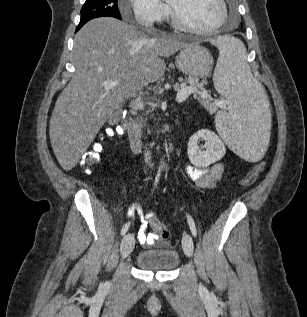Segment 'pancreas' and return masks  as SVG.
Returning <instances> with one entry per match:
<instances>
[{
	"instance_id": "pancreas-1",
	"label": "pancreas",
	"mask_w": 307,
	"mask_h": 317,
	"mask_svg": "<svg viewBox=\"0 0 307 317\" xmlns=\"http://www.w3.org/2000/svg\"><path fill=\"white\" fill-rule=\"evenodd\" d=\"M186 82L190 84L191 87H196L198 89H200L202 92H206L203 89V86L201 84L198 83V80L195 78H188L186 79ZM193 97L195 99H197L198 101H200L203 106L206 108L207 111L209 112H214L217 108L216 104L211 102L210 100H205L206 98L201 97V94H194ZM149 112V111H147ZM146 120L143 119L142 117L140 119L137 120V123H135L136 126L138 127H142L145 124Z\"/></svg>"
}]
</instances>
